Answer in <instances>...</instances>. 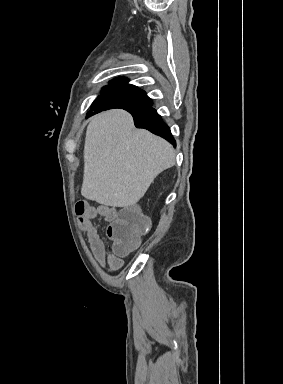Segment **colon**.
Returning <instances> with one entry per match:
<instances>
[{
	"mask_svg": "<svg viewBox=\"0 0 283 384\" xmlns=\"http://www.w3.org/2000/svg\"><path fill=\"white\" fill-rule=\"evenodd\" d=\"M87 206L83 201L76 205V213L82 216ZM149 227V221L137 206H128L121 210L107 229V235L112 239L114 250L123 255L133 249L140 235Z\"/></svg>",
	"mask_w": 283,
	"mask_h": 384,
	"instance_id": "colon-1",
	"label": "colon"
}]
</instances>
